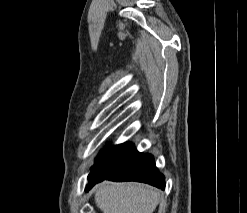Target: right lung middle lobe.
<instances>
[{
	"mask_svg": "<svg viewBox=\"0 0 247 213\" xmlns=\"http://www.w3.org/2000/svg\"><path fill=\"white\" fill-rule=\"evenodd\" d=\"M115 146H111V147H106L104 150H102L100 152V154L97 156V158L95 159V164L94 166L92 167L91 169V172L88 176V182L92 179H94L97 175H98V166H99V163L104 159L106 158L111 152L112 150L114 149Z\"/></svg>",
	"mask_w": 247,
	"mask_h": 213,
	"instance_id": "obj_1",
	"label": "right lung middle lobe"
}]
</instances>
